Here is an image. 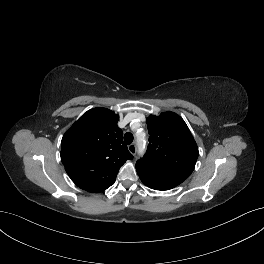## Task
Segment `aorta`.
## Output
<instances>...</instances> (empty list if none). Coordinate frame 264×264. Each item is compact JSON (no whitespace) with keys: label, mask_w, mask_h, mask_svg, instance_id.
Segmentation results:
<instances>
[{"label":"aorta","mask_w":264,"mask_h":264,"mask_svg":"<svg viewBox=\"0 0 264 264\" xmlns=\"http://www.w3.org/2000/svg\"><path fill=\"white\" fill-rule=\"evenodd\" d=\"M138 146H139V152L143 153V151L145 150V147L142 144V137L141 136L138 138Z\"/></svg>","instance_id":"obj_1"}]
</instances>
